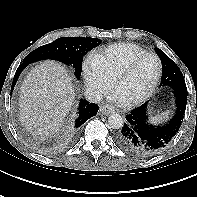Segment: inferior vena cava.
<instances>
[{"label": "inferior vena cava", "instance_id": "1", "mask_svg": "<svg viewBox=\"0 0 197 197\" xmlns=\"http://www.w3.org/2000/svg\"><path fill=\"white\" fill-rule=\"evenodd\" d=\"M84 95L86 100L91 103H99L103 99L102 93L92 88H87Z\"/></svg>", "mask_w": 197, "mask_h": 197}]
</instances>
